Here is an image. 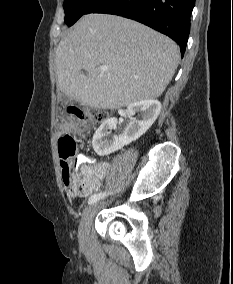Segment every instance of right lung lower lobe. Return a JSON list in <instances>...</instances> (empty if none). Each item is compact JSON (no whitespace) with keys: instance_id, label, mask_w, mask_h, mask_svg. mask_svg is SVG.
<instances>
[{"instance_id":"98d812e1","label":"right lung lower lobe","mask_w":233,"mask_h":284,"mask_svg":"<svg viewBox=\"0 0 233 284\" xmlns=\"http://www.w3.org/2000/svg\"><path fill=\"white\" fill-rule=\"evenodd\" d=\"M195 0H108L92 13H107L139 21L169 36L184 55Z\"/></svg>"}]
</instances>
